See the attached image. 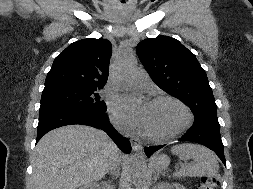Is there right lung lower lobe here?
Instances as JSON below:
<instances>
[{"mask_svg":"<svg viewBox=\"0 0 253 189\" xmlns=\"http://www.w3.org/2000/svg\"><path fill=\"white\" fill-rule=\"evenodd\" d=\"M72 124L89 125L96 128L99 127L105 131L125 153L131 151L130 142L114 129L105 112L68 106L40 107L36 142H38L48 131Z\"/></svg>","mask_w":253,"mask_h":189,"instance_id":"98d812e1","label":"right lung lower lobe"}]
</instances>
